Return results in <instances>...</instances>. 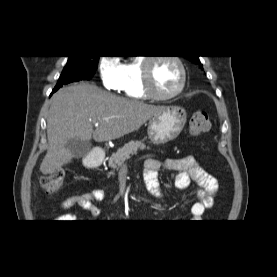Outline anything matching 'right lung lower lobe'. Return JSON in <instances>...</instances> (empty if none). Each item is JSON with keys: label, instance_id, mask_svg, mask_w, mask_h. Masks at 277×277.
<instances>
[{"label": "right lung lower lobe", "instance_id": "98d812e1", "mask_svg": "<svg viewBox=\"0 0 277 277\" xmlns=\"http://www.w3.org/2000/svg\"><path fill=\"white\" fill-rule=\"evenodd\" d=\"M63 85V82H61V83H59V84H57L56 86H55V88H54V91L53 92H55V91H57L61 86Z\"/></svg>", "mask_w": 277, "mask_h": 277}]
</instances>
